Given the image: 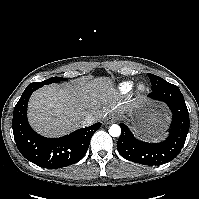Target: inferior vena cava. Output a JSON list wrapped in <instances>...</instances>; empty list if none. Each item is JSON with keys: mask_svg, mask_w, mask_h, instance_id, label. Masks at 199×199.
<instances>
[{"mask_svg": "<svg viewBox=\"0 0 199 199\" xmlns=\"http://www.w3.org/2000/svg\"><path fill=\"white\" fill-rule=\"evenodd\" d=\"M97 121L96 117L93 115H87L82 121L81 124L82 126H90L94 124Z\"/></svg>", "mask_w": 199, "mask_h": 199, "instance_id": "1", "label": "inferior vena cava"}]
</instances>
